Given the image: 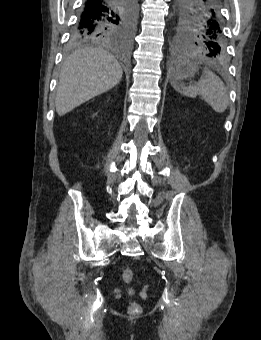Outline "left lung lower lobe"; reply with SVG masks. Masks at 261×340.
<instances>
[{
    "label": "left lung lower lobe",
    "instance_id": "obj_1",
    "mask_svg": "<svg viewBox=\"0 0 261 340\" xmlns=\"http://www.w3.org/2000/svg\"><path fill=\"white\" fill-rule=\"evenodd\" d=\"M201 4L204 14L206 15H214L218 8H220V0H198Z\"/></svg>",
    "mask_w": 261,
    "mask_h": 340
}]
</instances>
